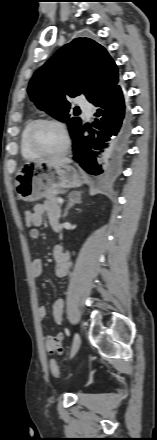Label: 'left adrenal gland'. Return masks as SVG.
<instances>
[{
	"label": "left adrenal gland",
	"instance_id": "a2214340",
	"mask_svg": "<svg viewBox=\"0 0 157 440\" xmlns=\"http://www.w3.org/2000/svg\"><path fill=\"white\" fill-rule=\"evenodd\" d=\"M69 198V202L65 208L64 214H63V218H65L68 215V211L69 209H71L74 205L76 204H80L81 201V192H77V193H71L68 196Z\"/></svg>",
	"mask_w": 157,
	"mask_h": 440
}]
</instances>
